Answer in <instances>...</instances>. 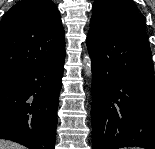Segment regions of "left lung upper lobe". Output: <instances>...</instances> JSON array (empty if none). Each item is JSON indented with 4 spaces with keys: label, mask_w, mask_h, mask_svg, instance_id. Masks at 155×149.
<instances>
[{
    "label": "left lung upper lobe",
    "mask_w": 155,
    "mask_h": 149,
    "mask_svg": "<svg viewBox=\"0 0 155 149\" xmlns=\"http://www.w3.org/2000/svg\"><path fill=\"white\" fill-rule=\"evenodd\" d=\"M92 10V31L104 32L133 23L145 25V17L132 0H95Z\"/></svg>",
    "instance_id": "obj_1"
}]
</instances>
